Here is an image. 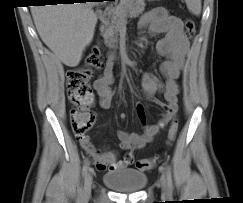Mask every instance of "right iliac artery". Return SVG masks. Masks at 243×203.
Instances as JSON below:
<instances>
[{"label":"right iliac artery","instance_id":"obj_1","mask_svg":"<svg viewBox=\"0 0 243 203\" xmlns=\"http://www.w3.org/2000/svg\"><path fill=\"white\" fill-rule=\"evenodd\" d=\"M88 168H89V162H88V160H85L83 168H82V176L83 177L86 176ZM80 191H81V189H80ZM81 195H83V193Z\"/></svg>","mask_w":243,"mask_h":203}]
</instances>
